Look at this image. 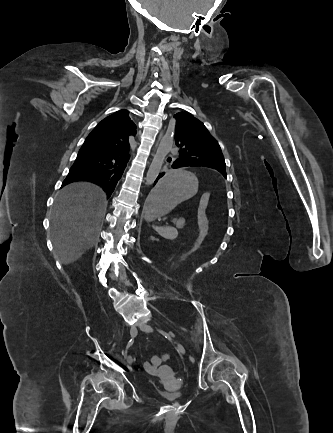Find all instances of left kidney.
Segmentation results:
<instances>
[{
    "instance_id": "obj_1",
    "label": "left kidney",
    "mask_w": 333,
    "mask_h": 433,
    "mask_svg": "<svg viewBox=\"0 0 333 433\" xmlns=\"http://www.w3.org/2000/svg\"><path fill=\"white\" fill-rule=\"evenodd\" d=\"M174 231H177L175 228H172Z\"/></svg>"
}]
</instances>
